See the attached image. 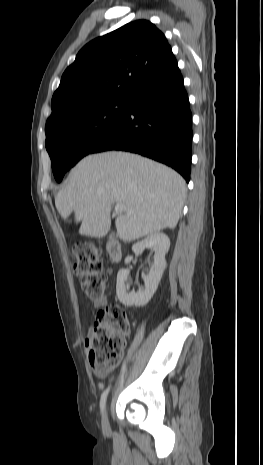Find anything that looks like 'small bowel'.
<instances>
[{
  "instance_id": "small-bowel-1",
  "label": "small bowel",
  "mask_w": 263,
  "mask_h": 465,
  "mask_svg": "<svg viewBox=\"0 0 263 465\" xmlns=\"http://www.w3.org/2000/svg\"><path fill=\"white\" fill-rule=\"evenodd\" d=\"M106 301H107V298H106V297H102V298H100V299L94 300V305H95L96 307H99V306H102L103 304H105ZM98 374H99V375H103V373H101V372H98Z\"/></svg>"
}]
</instances>
